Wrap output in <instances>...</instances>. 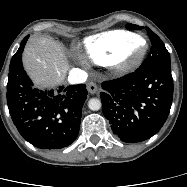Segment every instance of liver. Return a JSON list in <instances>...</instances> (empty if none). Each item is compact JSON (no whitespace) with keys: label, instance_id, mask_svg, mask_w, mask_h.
Segmentation results:
<instances>
[{"label":"liver","instance_id":"1","mask_svg":"<svg viewBox=\"0 0 187 187\" xmlns=\"http://www.w3.org/2000/svg\"><path fill=\"white\" fill-rule=\"evenodd\" d=\"M23 64L35 85L43 88L61 84L70 67L64 46L46 36L30 38L23 53Z\"/></svg>","mask_w":187,"mask_h":187}]
</instances>
